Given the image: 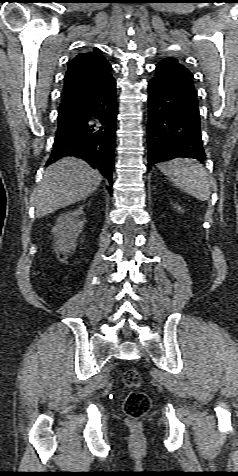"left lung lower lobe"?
Here are the masks:
<instances>
[{
	"label": "left lung lower lobe",
	"mask_w": 238,
	"mask_h": 476,
	"mask_svg": "<svg viewBox=\"0 0 238 476\" xmlns=\"http://www.w3.org/2000/svg\"><path fill=\"white\" fill-rule=\"evenodd\" d=\"M148 90V167L177 157L204 161L196 92L160 66Z\"/></svg>",
	"instance_id": "0a47b994"
}]
</instances>
